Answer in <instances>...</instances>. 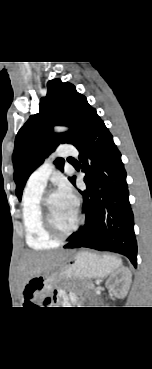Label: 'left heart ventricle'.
<instances>
[{
  "label": "left heart ventricle",
  "mask_w": 152,
  "mask_h": 369,
  "mask_svg": "<svg viewBox=\"0 0 152 369\" xmlns=\"http://www.w3.org/2000/svg\"><path fill=\"white\" fill-rule=\"evenodd\" d=\"M49 206L59 230H69L76 220V208L67 205L56 193L50 195Z\"/></svg>",
  "instance_id": "obj_1"
}]
</instances>
